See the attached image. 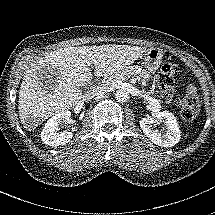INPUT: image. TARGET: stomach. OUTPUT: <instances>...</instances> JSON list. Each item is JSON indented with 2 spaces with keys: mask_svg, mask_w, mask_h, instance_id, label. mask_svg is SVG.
<instances>
[{
  "mask_svg": "<svg viewBox=\"0 0 215 215\" xmlns=\"http://www.w3.org/2000/svg\"><path fill=\"white\" fill-rule=\"evenodd\" d=\"M141 57L142 63L146 69L156 71L162 64L164 52L158 47H149Z\"/></svg>",
  "mask_w": 215,
  "mask_h": 215,
  "instance_id": "1",
  "label": "stomach"
}]
</instances>
